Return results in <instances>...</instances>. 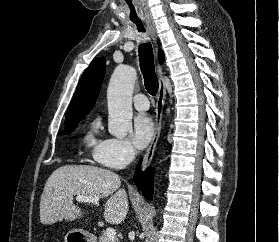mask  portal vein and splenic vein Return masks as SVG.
Masks as SVG:
<instances>
[{
	"label": "portal vein and splenic vein",
	"mask_w": 279,
	"mask_h": 242,
	"mask_svg": "<svg viewBox=\"0 0 279 242\" xmlns=\"http://www.w3.org/2000/svg\"><path fill=\"white\" fill-rule=\"evenodd\" d=\"M76 200L79 202L93 203L95 205H98V202H99L98 197H88V196H83V195L76 196ZM105 235L107 236L108 239L113 240L114 238H116V231H115V229L108 227L105 231Z\"/></svg>",
	"instance_id": "portal-vein-and-splenic-vein-1"
}]
</instances>
